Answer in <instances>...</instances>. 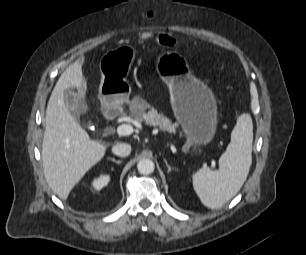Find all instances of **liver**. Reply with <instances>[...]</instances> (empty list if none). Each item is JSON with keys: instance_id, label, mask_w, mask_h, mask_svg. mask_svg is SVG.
Listing matches in <instances>:
<instances>
[{"instance_id": "liver-1", "label": "liver", "mask_w": 306, "mask_h": 255, "mask_svg": "<svg viewBox=\"0 0 306 255\" xmlns=\"http://www.w3.org/2000/svg\"><path fill=\"white\" fill-rule=\"evenodd\" d=\"M84 87L81 63L76 61L58 79L46 109L42 144L44 176L52 191L64 200L106 152V146L90 139L65 104V89Z\"/></svg>"}]
</instances>
